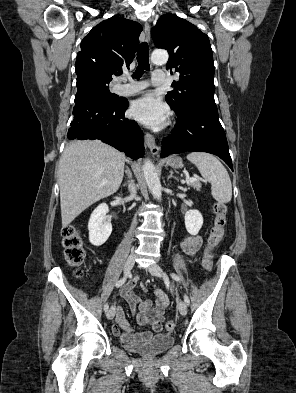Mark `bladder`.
Masks as SVG:
<instances>
[{"label":"bladder","mask_w":296,"mask_h":393,"mask_svg":"<svg viewBox=\"0 0 296 393\" xmlns=\"http://www.w3.org/2000/svg\"><path fill=\"white\" fill-rule=\"evenodd\" d=\"M175 338L170 334H156L142 343H125L124 347L142 356L161 354L174 345Z\"/></svg>","instance_id":"obj_1"}]
</instances>
